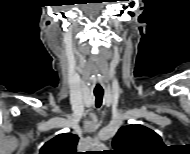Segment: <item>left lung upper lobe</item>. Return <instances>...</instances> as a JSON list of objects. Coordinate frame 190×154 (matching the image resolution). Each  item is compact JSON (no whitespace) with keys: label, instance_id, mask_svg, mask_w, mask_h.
<instances>
[{"label":"left lung upper lobe","instance_id":"5c2ea615","mask_svg":"<svg viewBox=\"0 0 190 154\" xmlns=\"http://www.w3.org/2000/svg\"><path fill=\"white\" fill-rule=\"evenodd\" d=\"M112 146V154H157L165 147L156 132L140 124L121 127Z\"/></svg>","mask_w":190,"mask_h":154}]
</instances>
